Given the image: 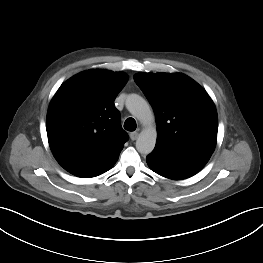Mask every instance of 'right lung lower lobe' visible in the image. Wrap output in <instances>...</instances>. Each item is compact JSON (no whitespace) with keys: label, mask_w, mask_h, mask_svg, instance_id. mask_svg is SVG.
Listing matches in <instances>:
<instances>
[{"label":"right lung lower lobe","mask_w":263,"mask_h":263,"mask_svg":"<svg viewBox=\"0 0 263 263\" xmlns=\"http://www.w3.org/2000/svg\"><path fill=\"white\" fill-rule=\"evenodd\" d=\"M110 168H111V167H110ZM110 168H109V169H110ZM109 169H108V170H109ZM106 171H107V170H106ZM106 171H105V172H106ZM103 173H104V172H103ZM101 174H102V173H101ZM99 175H100V174H99ZM97 176H98V175H97Z\"/></svg>","instance_id":"obj_1"}]
</instances>
